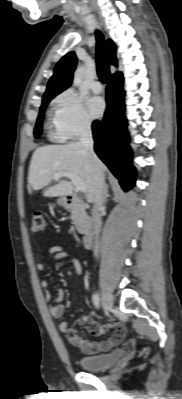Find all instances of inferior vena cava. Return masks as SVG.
Listing matches in <instances>:
<instances>
[{
  "mask_svg": "<svg viewBox=\"0 0 182 399\" xmlns=\"http://www.w3.org/2000/svg\"><path fill=\"white\" fill-rule=\"evenodd\" d=\"M79 143L87 151L88 155L94 163H98L99 159L93 150V137L91 131L90 121H84L80 128V139ZM105 193V180L103 174L96 170L95 176V187H94V206H93V218L95 224V244H94V255L98 257L99 253V233L102 226V220L100 211L103 207Z\"/></svg>",
  "mask_w": 182,
  "mask_h": 399,
  "instance_id": "inferior-vena-cava-1",
  "label": "inferior vena cava"
}]
</instances>
